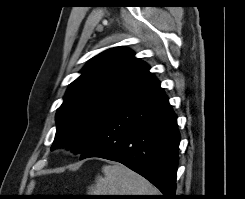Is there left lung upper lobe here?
<instances>
[{
	"instance_id": "5c2ea615",
	"label": "left lung upper lobe",
	"mask_w": 245,
	"mask_h": 199,
	"mask_svg": "<svg viewBox=\"0 0 245 199\" xmlns=\"http://www.w3.org/2000/svg\"><path fill=\"white\" fill-rule=\"evenodd\" d=\"M81 73L58 108L51 150L66 146L83 153L102 126L155 80L149 66L123 47L101 52Z\"/></svg>"
}]
</instances>
